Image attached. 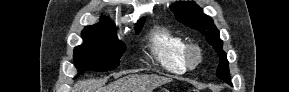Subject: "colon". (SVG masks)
I'll use <instances>...</instances> for the list:
<instances>
[{
	"label": "colon",
	"instance_id": "obj_1",
	"mask_svg": "<svg viewBox=\"0 0 289 92\" xmlns=\"http://www.w3.org/2000/svg\"><path fill=\"white\" fill-rule=\"evenodd\" d=\"M191 92H196L195 90H192Z\"/></svg>",
	"mask_w": 289,
	"mask_h": 92
}]
</instances>
